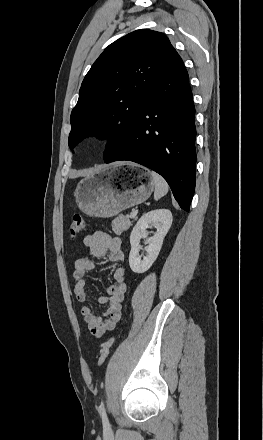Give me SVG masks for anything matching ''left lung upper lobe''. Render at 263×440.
Returning <instances> with one entry per match:
<instances>
[{"instance_id":"obj_1","label":"left lung upper lobe","mask_w":263,"mask_h":440,"mask_svg":"<svg viewBox=\"0 0 263 440\" xmlns=\"http://www.w3.org/2000/svg\"><path fill=\"white\" fill-rule=\"evenodd\" d=\"M175 52L166 35L141 29L109 45L86 74L72 110L69 147L108 138L104 160L125 152L136 117Z\"/></svg>"}]
</instances>
